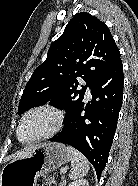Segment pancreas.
<instances>
[{
	"label": "pancreas",
	"instance_id": "cf45deb5",
	"mask_svg": "<svg viewBox=\"0 0 138 186\" xmlns=\"http://www.w3.org/2000/svg\"><path fill=\"white\" fill-rule=\"evenodd\" d=\"M59 186H65V180H63Z\"/></svg>",
	"mask_w": 138,
	"mask_h": 186
}]
</instances>
